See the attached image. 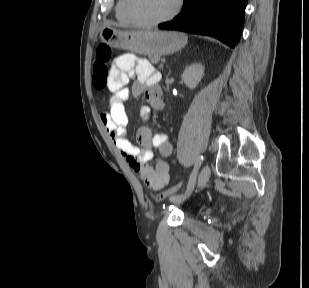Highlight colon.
<instances>
[{"instance_id":"obj_1","label":"colon","mask_w":309,"mask_h":288,"mask_svg":"<svg viewBox=\"0 0 309 288\" xmlns=\"http://www.w3.org/2000/svg\"><path fill=\"white\" fill-rule=\"evenodd\" d=\"M115 57V51L108 44H101L96 50V61L92 70V84L95 90L101 91L107 87L109 77V62ZM184 186L183 182H178L172 187L161 191L153 196L160 202L174 196Z\"/></svg>"}]
</instances>
